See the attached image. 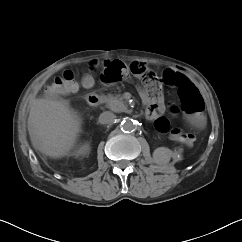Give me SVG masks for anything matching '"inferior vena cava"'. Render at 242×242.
<instances>
[{"label":"inferior vena cava","mask_w":242,"mask_h":242,"mask_svg":"<svg viewBox=\"0 0 242 242\" xmlns=\"http://www.w3.org/2000/svg\"><path fill=\"white\" fill-rule=\"evenodd\" d=\"M115 118H116V116H115L114 113H112L110 111H105V112L100 114L99 122L101 124H109V123H112Z\"/></svg>","instance_id":"1"}]
</instances>
